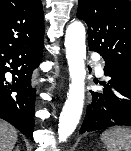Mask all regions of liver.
<instances>
[{
    "instance_id": "obj_1",
    "label": "liver",
    "mask_w": 131,
    "mask_h": 151,
    "mask_svg": "<svg viewBox=\"0 0 131 151\" xmlns=\"http://www.w3.org/2000/svg\"><path fill=\"white\" fill-rule=\"evenodd\" d=\"M17 138L15 128L7 122L0 120V151H12Z\"/></svg>"
}]
</instances>
